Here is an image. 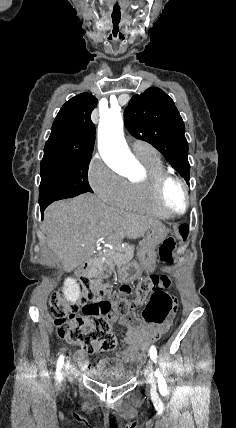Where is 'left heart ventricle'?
<instances>
[{"label":"left heart ventricle","mask_w":236,"mask_h":428,"mask_svg":"<svg viewBox=\"0 0 236 428\" xmlns=\"http://www.w3.org/2000/svg\"><path fill=\"white\" fill-rule=\"evenodd\" d=\"M167 201L175 206L182 207L184 203V194L182 189L176 183H171L166 189Z\"/></svg>","instance_id":"b2bd125f"}]
</instances>
